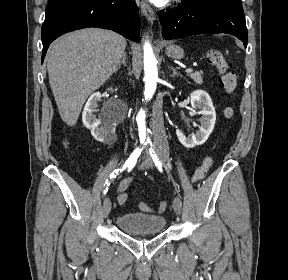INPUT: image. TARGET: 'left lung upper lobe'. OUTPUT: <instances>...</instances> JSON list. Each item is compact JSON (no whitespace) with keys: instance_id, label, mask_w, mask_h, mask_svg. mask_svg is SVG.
Listing matches in <instances>:
<instances>
[{"instance_id":"left-lung-upper-lobe-1","label":"left lung upper lobe","mask_w":288,"mask_h":280,"mask_svg":"<svg viewBox=\"0 0 288 280\" xmlns=\"http://www.w3.org/2000/svg\"><path fill=\"white\" fill-rule=\"evenodd\" d=\"M187 1H191V0H187ZM215 1H217L218 3L225 4V5H229L235 9H237L240 12H244L240 0H215Z\"/></svg>"}]
</instances>
